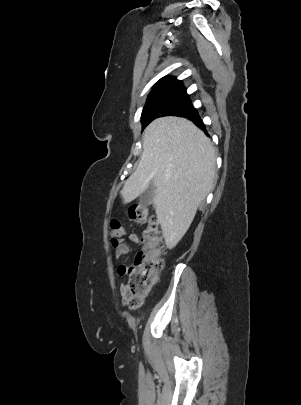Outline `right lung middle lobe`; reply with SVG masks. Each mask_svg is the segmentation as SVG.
Returning a JSON list of instances; mask_svg holds the SVG:
<instances>
[{
  "label": "right lung middle lobe",
  "mask_w": 301,
  "mask_h": 405,
  "mask_svg": "<svg viewBox=\"0 0 301 405\" xmlns=\"http://www.w3.org/2000/svg\"><path fill=\"white\" fill-rule=\"evenodd\" d=\"M193 110L196 109L193 108L185 90H175L149 97L141 115L142 128L144 129L158 117L179 116Z\"/></svg>",
  "instance_id": "right-lung-middle-lobe-1"
}]
</instances>
